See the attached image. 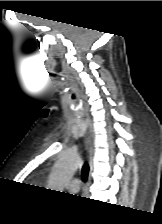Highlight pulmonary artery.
<instances>
[{
	"mask_svg": "<svg viewBox=\"0 0 162 224\" xmlns=\"http://www.w3.org/2000/svg\"><path fill=\"white\" fill-rule=\"evenodd\" d=\"M80 186H81V180L78 177H73L68 182L67 187L70 192H77L79 191Z\"/></svg>",
	"mask_w": 162,
	"mask_h": 224,
	"instance_id": "pulmonary-artery-1",
	"label": "pulmonary artery"
}]
</instances>
